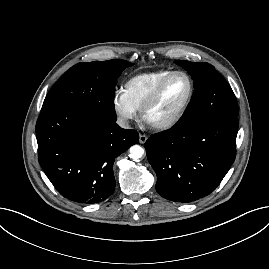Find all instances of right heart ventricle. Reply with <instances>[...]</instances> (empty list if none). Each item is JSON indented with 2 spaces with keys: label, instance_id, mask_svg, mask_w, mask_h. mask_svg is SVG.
<instances>
[{
  "label": "right heart ventricle",
  "instance_id": "e07e8e85",
  "mask_svg": "<svg viewBox=\"0 0 269 269\" xmlns=\"http://www.w3.org/2000/svg\"><path fill=\"white\" fill-rule=\"evenodd\" d=\"M171 72L170 70H158L141 73L128 79L124 84L123 92L130 104L136 110H140L158 83Z\"/></svg>",
  "mask_w": 269,
  "mask_h": 269
}]
</instances>
